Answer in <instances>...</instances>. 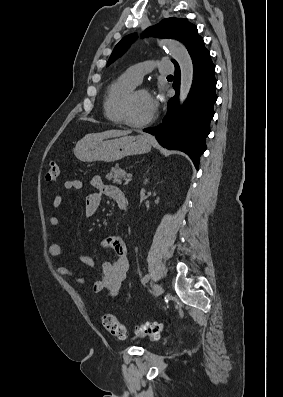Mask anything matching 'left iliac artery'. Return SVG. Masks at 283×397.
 <instances>
[{"label":"left iliac artery","mask_w":283,"mask_h":397,"mask_svg":"<svg viewBox=\"0 0 283 397\" xmlns=\"http://www.w3.org/2000/svg\"><path fill=\"white\" fill-rule=\"evenodd\" d=\"M150 280V275H145V277L143 278V280H142V282L143 283H146V282H148Z\"/></svg>","instance_id":"obj_1"}]
</instances>
